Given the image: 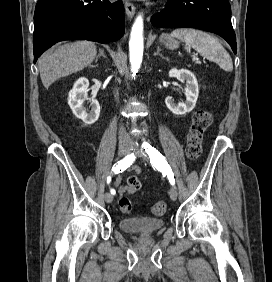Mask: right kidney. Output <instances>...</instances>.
Listing matches in <instances>:
<instances>
[{
	"mask_svg": "<svg viewBox=\"0 0 272 282\" xmlns=\"http://www.w3.org/2000/svg\"><path fill=\"white\" fill-rule=\"evenodd\" d=\"M89 81L85 77H80L73 85V88L68 94V104L72 109L73 114L81 119L84 124H94L100 115V105L95 98H88ZM89 100L91 110L87 112L84 108V102Z\"/></svg>",
	"mask_w": 272,
	"mask_h": 282,
	"instance_id": "ca27d5eb",
	"label": "right kidney"
}]
</instances>
